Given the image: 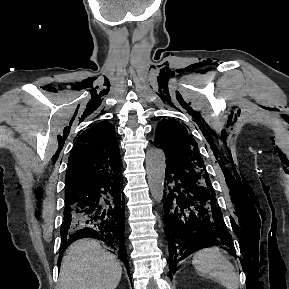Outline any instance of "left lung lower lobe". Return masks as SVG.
I'll list each match as a JSON object with an SVG mask.
<instances>
[{
  "label": "left lung lower lobe",
  "instance_id": "obj_1",
  "mask_svg": "<svg viewBox=\"0 0 289 289\" xmlns=\"http://www.w3.org/2000/svg\"><path fill=\"white\" fill-rule=\"evenodd\" d=\"M165 181L167 192L162 202L170 254L169 277L177 271L179 261L197 250L221 244L234 250L212 185L170 166H166Z\"/></svg>",
  "mask_w": 289,
  "mask_h": 289
}]
</instances>
